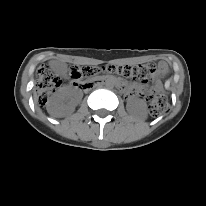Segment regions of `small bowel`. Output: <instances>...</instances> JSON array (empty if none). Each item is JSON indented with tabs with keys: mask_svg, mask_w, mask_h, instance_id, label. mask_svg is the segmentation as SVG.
<instances>
[{
	"mask_svg": "<svg viewBox=\"0 0 206 206\" xmlns=\"http://www.w3.org/2000/svg\"><path fill=\"white\" fill-rule=\"evenodd\" d=\"M167 71V64L165 62H160L158 65V69L156 71V75H163Z\"/></svg>",
	"mask_w": 206,
	"mask_h": 206,
	"instance_id": "1",
	"label": "small bowel"
}]
</instances>
